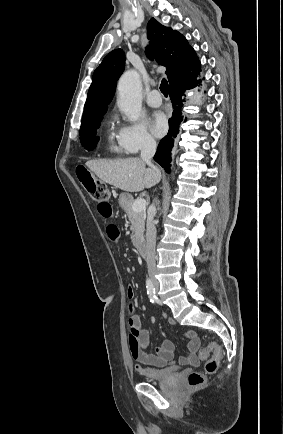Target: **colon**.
Instances as JSON below:
<instances>
[{"mask_svg": "<svg viewBox=\"0 0 283 434\" xmlns=\"http://www.w3.org/2000/svg\"><path fill=\"white\" fill-rule=\"evenodd\" d=\"M77 176L88 195L96 202H106L110 198L108 187L96 179L91 172L84 166H80L76 170ZM198 356L201 360H205L204 372H192L189 374L187 382L191 388H197L205 383L206 374L216 372L221 357V350L214 342L198 351Z\"/></svg>", "mask_w": 283, "mask_h": 434, "instance_id": "1", "label": "colon"}]
</instances>
